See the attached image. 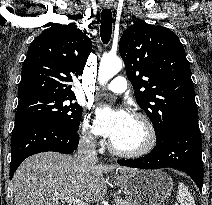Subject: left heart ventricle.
Instances as JSON below:
<instances>
[{
	"mask_svg": "<svg viewBox=\"0 0 212 205\" xmlns=\"http://www.w3.org/2000/svg\"><path fill=\"white\" fill-rule=\"evenodd\" d=\"M145 140L143 126L131 118L126 127L112 139L113 144L121 150H134L140 147Z\"/></svg>",
	"mask_w": 212,
	"mask_h": 205,
	"instance_id": "1",
	"label": "left heart ventricle"
}]
</instances>
